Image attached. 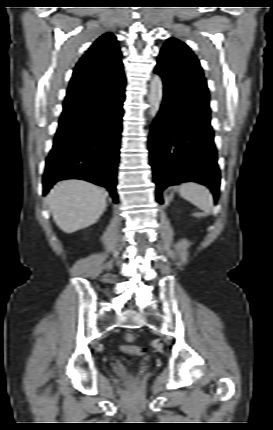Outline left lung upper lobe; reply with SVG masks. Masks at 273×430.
Segmentation results:
<instances>
[{
	"mask_svg": "<svg viewBox=\"0 0 273 430\" xmlns=\"http://www.w3.org/2000/svg\"><path fill=\"white\" fill-rule=\"evenodd\" d=\"M155 72L173 85L179 98L210 115L209 90L202 67L185 43L169 38L160 51Z\"/></svg>",
	"mask_w": 273,
	"mask_h": 430,
	"instance_id": "obj_1",
	"label": "left lung upper lobe"
}]
</instances>
